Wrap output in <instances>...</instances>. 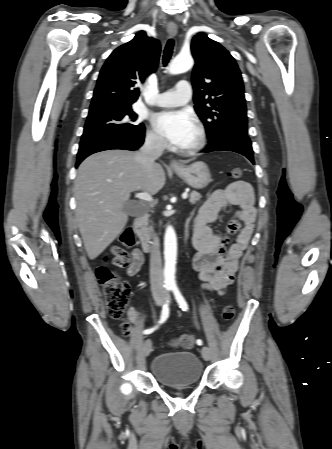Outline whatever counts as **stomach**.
I'll return each instance as SVG.
<instances>
[{
    "label": "stomach",
    "mask_w": 332,
    "mask_h": 449,
    "mask_svg": "<svg viewBox=\"0 0 332 449\" xmlns=\"http://www.w3.org/2000/svg\"><path fill=\"white\" fill-rule=\"evenodd\" d=\"M173 171L195 189H203L211 181L210 171L207 165L201 161L181 168H174Z\"/></svg>",
    "instance_id": "1"
}]
</instances>
